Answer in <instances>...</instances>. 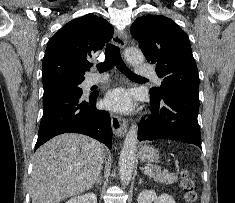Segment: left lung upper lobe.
Returning <instances> with one entry per match:
<instances>
[{
	"label": "left lung upper lobe",
	"instance_id": "left-lung-upper-lobe-1",
	"mask_svg": "<svg viewBox=\"0 0 235 203\" xmlns=\"http://www.w3.org/2000/svg\"><path fill=\"white\" fill-rule=\"evenodd\" d=\"M132 36L139 42L148 62L156 64L162 79L160 88L150 95L161 98L171 90L199 91V75L187 34L171 19L162 15L139 17L131 25Z\"/></svg>",
	"mask_w": 235,
	"mask_h": 203
}]
</instances>
